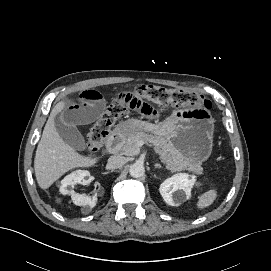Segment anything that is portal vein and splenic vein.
Here are the masks:
<instances>
[{"label": "portal vein and splenic vein", "instance_id": "obj_1", "mask_svg": "<svg viewBox=\"0 0 271 271\" xmlns=\"http://www.w3.org/2000/svg\"><path fill=\"white\" fill-rule=\"evenodd\" d=\"M144 143L142 141L139 142V147L142 146Z\"/></svg>", "mask_w": 271, "mask_h": 271}]
</instances>
